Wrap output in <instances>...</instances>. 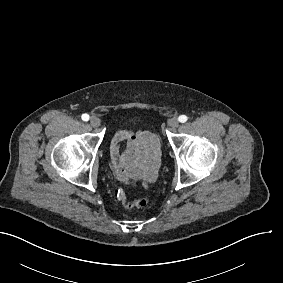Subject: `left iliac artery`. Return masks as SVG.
I'll return each instance as SVG.
<instances>
[{
    "instance_id": "1",
    "label": "left iliac artery",
    "mask_w": 283,
    "mask_h": 283,
    "mask_svg": "<svg viewBox=\"0 0 283 283\" xmlns=\"http://www.w3.org/2000/svg\"><path fill=\"white\" fill-rule=\"evenodd\" d=\"M187 116H185V115H181V116H179V118H178V120H179V122H181V123H185L186 121H187Z\"/></svg>"
}]
</instances>
